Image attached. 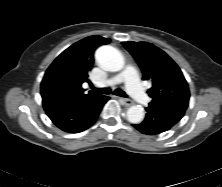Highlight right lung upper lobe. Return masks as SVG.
<instances>
[{"mask_svg": "<svg viewBox=\"0 0 222 187\" xmlns=\"http://www.w3.org/2000/svg\"><path fill=\"white\" fill-rule=\"evenodd\" d=\"M109 42L108 38L89 36L67 48L47 69L41 82V92L51 88L78 100L101 96L94 92L85 94L82 83H90L88 73L94 63V51Z\"/></svg>", "mask_w": 222, "mask_h": 187, "instance_id": "1", "label": "right lung upper lobe"}]
</instances>
